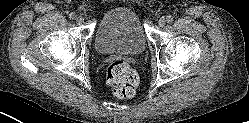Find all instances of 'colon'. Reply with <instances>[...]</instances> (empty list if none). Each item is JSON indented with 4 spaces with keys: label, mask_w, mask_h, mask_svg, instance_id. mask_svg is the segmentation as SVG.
<instances>
[{
    "label": "colon",
    "mask_w": 249,
    "mask_h": 123,
    "mask_svg": "<svg viewBox=\"0 0 249 123\" xmlns=\"http://www.w3.org/2000/svg\"><path fill=\"white\" fill-rule=\"evenodd\" d=\"M139 77L134 68L124 60H114L107 68V85L116 98L126 99L134 95Z\"/></svg>",
    "instance_id": "5ec220e1"
}]
</instances>
